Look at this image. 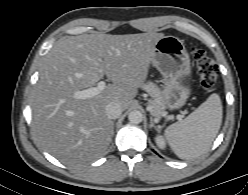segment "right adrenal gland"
<instances>
[{
    "label": "right adrenal gland",
    "instance_id": "2a0ac1e0",
    "mask_svg": "<svg viewBox=\"0 0 248 195\" xmlns=\"http://www.w3.org/2000/svg\"><path fill=\"white\" fill-rule=\"evenodd\" d=\"M112 125H113V130H114V122H112Z\"/></svg>",
    "mask_w": 248,
    "mask_h": 195
}]
</instances>
